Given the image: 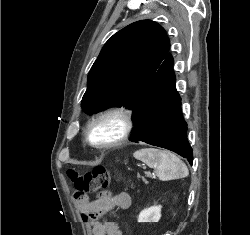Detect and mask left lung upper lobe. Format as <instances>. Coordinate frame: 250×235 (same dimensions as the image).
Masks as SVG:
<instances>
[{"label":"left lung upper lobe","instance_id":"obj_1","mask_svg":"<svg viewBox=\"0 0 250 235\" xmlns=\"http://www.w3.org/2000/svg\"><path fill=\"white\" fill-rule=\"evenodd\" d=\"M169 48L164 28L151 20L134 22L115 33L88 74L82 109L89 114L113 106L134 109Z\"/></svg>","mask_w":250,"mask_h":235}]
</instances>
